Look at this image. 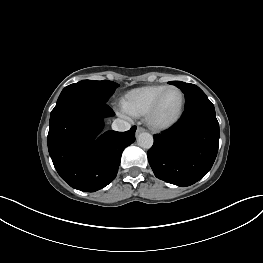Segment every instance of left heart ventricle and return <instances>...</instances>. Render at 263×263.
Returning a JSON list of instances; mask_svg holds the SVG:
<instances>
[{"label":"left heart ventricle","mask_w":263,"mask_h":263,"mask_svg":"<svg viewBox=\"0 0 263 263\" xmlns=\"http://www.w3.org/2000/svg\"><path fill=\"white\" fill-rule=\"evenodd\" d=\"M182 98L177 90H170L164 96L159 109L156 113V120L165 122L173 118L179 111Z\"/></svg>","instance_id":"1"}]
</instances>
